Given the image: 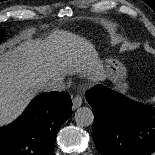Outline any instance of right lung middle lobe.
<instances>
[{
	"label": "right lung middle lobe",
	"instance_id": "dd1d6c3e",
	"mask_svg": "<svg viewBox=\"0 0 155 155\" xmlns=\"http://www.w3.org/2000/svg\"><path fill=\"white\" fill-rule=\"evenodd\" d=\"M1 40H2V32L0 31V42H1Z\"/></svg>",
	"mask_w": 155,
	"mask_h": 155
}]
</instances>
